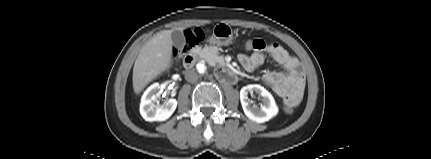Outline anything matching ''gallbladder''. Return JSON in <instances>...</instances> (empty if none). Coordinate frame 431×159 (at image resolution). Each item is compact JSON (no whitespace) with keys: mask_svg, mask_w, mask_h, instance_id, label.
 <instances>
[{"mask_svg":"<svg viewBox=\"0 0 431 159\" xmlns=\"http://www.w3.org/2000/svg\"><path fill=\"white\" fill-rule=\"evenodd\" d=\"M172 41L175 47L182 49L185 45V37L181 31L174 30L171 34Z\"/></svg>","mask_w":431,"mask_h":159,"instance_id":"obj_1","label":"gallbladder"}]
</instances>
